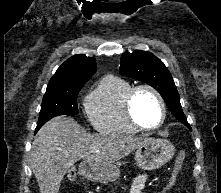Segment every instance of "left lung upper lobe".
<instances>
[{
	"instance_id": "left-lung-upper-lobe-1",
	"label": "left lung upper lobe",
	"mask_w": 221,
	"mask_h": 193,
	"mask_svg": "<svg viewBox=\"0 0 221 193\" xmlns=\"http://www.w3.org/2000/svg\"><path fill=\"white\" fill-rule=\"evenodd\" d=\"M120 74L143 81L157 89L175 118L190 128L182 111L174 80L159 58L141 50L124 52L120 61Z\"/></svg>"
}]
</instances>
